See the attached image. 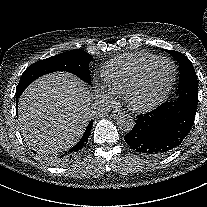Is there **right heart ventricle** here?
Instances as JSON below:
<instances>
[{
    "instance_id": "1",
    "label": "right heart ventricle",
    "mask_w": 207,
    "mask_h": 207,
    "mask_svg": "<svg viewBox=\"0 0 207 207\" xmlns=\"http://www.w3.org/2000/svg\"><path fill=\"white\" fill-rule=\"evenodd\" d=\"M158 56L146 52L124 55L108 62L102 70V79L112 98H122L141 70Z\"/></svg>"
}]
</instances>
